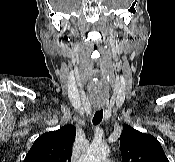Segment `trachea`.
Instances as JSON below:
<instances>
[{"label":"trachea","mask_w":175,"mask_h":162,"mask_svg":"<svg viewBox=\"0 0 175 162\" xmlns=\"http://www.w3.org/2000/svg\"><path fill=\"white\" fill-rule=\"evenodd\" d=\"M103 119V110H98L95 112L93 117V124L98 125Z\"/></svg>","instance_id":"3493384b"}]
</instances>
